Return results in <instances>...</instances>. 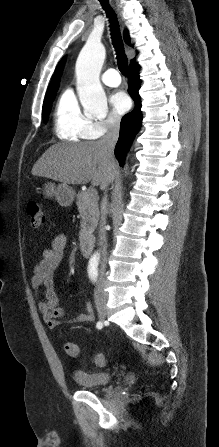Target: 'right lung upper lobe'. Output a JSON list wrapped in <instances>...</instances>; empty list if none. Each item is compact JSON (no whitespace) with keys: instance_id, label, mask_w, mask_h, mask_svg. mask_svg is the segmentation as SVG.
<instances>
[{"instance_id":"1","label":"right lung upper lobe","mask_w":219,"mask_h":447,"mask_svg":"<svg viewBox=\"0 0 219 447\" xmlns=\"http://www.w3.org/2000/svg\"><path fill=\"white\" fill-rule=\"evenodd\" d=\"M124 41L129 45L130 37H129L128 31H124ZM133 63H135V61H132L130 64H133ZM63 66H64V59H62L56 67V70H55L52 80L50 82V86L47 89L45 99L52 95H55V92L58 89L59 79L61 77Z\"/></svg>"}]
</instances>
